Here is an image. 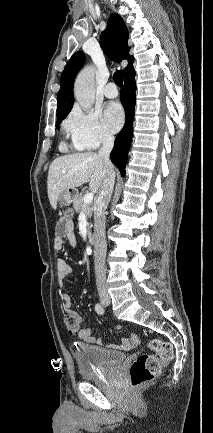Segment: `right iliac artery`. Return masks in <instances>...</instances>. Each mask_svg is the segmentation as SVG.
<instances>
[{"instance_id": "82829eb1", "label": "right iliac artery", "mask_w": 213, "mask_h": 433, "mask_svg": "<svg viewBox=\"0 0 213 433\" xmlns=\"http://www.w3.org/2000/svg\"><path fill=\"white\" fill-rule=\"evenodd\" d=\"M95 311H96L98 314H100V315L104 314V308H103V306H102L101 304H99V303H97V304L95 305Z\"/></svg>"}]
</instances>
